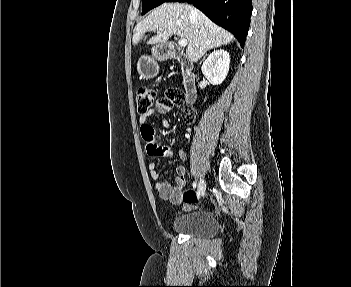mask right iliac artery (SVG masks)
Wrapping results in <instances>:
<instances>
[{"mask_svg":"<svg viewBox=\"0 0 351 287\" xmlns=\"http://www.w3.org/2000/svg\"><path fill=\"white\" fill-rule=\"evenodd\" d=\"M193 188H196V182H193Z\"/></svg>","mask_w":351,"mask_h":287,"instance_id":"obj_1","label":"right iliac artery"}]
</instances>
